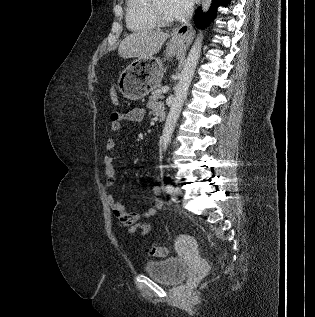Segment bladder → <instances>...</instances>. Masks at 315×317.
<instances>
[{
  "label": "bladder",
  "mask_w": 315,
  "mask_h": 317,
  "mask_svg": "<svg viewBox=\"0 0 315 317\" xmlns=\"http://www.w3.org/2000/svg\"><path fill=\"white\" fill-rule=\"evenodd\" d=\"M144 271L150 277L166 284L175 285L182 282L187 274V265L180 258H167L146 262Z\"/></svg>",
  "instance_id": "1"
}]
</instances>
